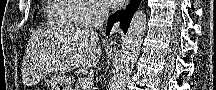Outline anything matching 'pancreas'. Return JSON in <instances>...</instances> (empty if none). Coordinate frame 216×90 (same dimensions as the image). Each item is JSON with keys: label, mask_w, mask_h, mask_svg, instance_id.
<instances>
[{"label": "pancreas", "mask_w": 216, "mask_h": 90, "mask_svg": "<svg viewBox=\"0 0 216 90\" xmlns=\"http://www.w3.org/2000/svg\"><path fill=\"white\" fill-rule=\"evenodd\" d=\"M78 86H79V84H76V86H75L76 90H77Z\"/></svg>", "instance_id": "obj_1"}]
</instances>
